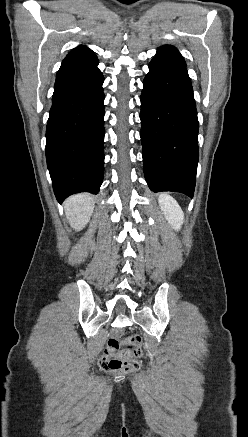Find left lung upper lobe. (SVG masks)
I'll use <instances>...</instances> for the list:
<instances>
[{"instance_id":"left-lung-upper-lobe-1","label":"left lung upper lobe","mask_w":248,"mask_h":437,"mask_svg":"<svg viewBox=\"0 0 248 437\" xmlns=\"http://www.w3.org/2000/svg\"><path fill=\"white\" fill-rule=\"evenodd\" d=\"M153 59L174 62L186 66L185 60L182 55L179 53L177 48L171 45H164L159 47Z\"/></svg>"}]
</instances>
